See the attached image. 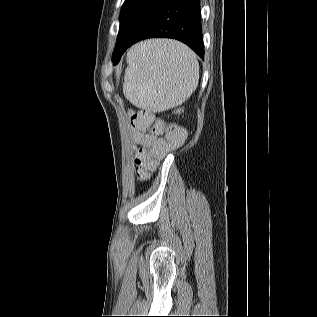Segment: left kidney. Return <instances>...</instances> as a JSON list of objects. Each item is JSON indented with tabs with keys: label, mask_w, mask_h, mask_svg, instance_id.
I'll return each mask as SVG.
<instances>
[{
	"label": "left kidney",
	"mask_w": 317,
	"mask_h": 317,
	"mask_svg": "<svg viewBox=\"0 0 317 317\" xmlns=\"http://www.w3.org/2000/svg\"><path fill=\"white\" fill-rule=\"evenodd\" d=\"M180 111H181V109H178L176 112H177V113H180Z\"/></svg>",
	"instance_id": "left-kidney-1"
}]
</instances>
